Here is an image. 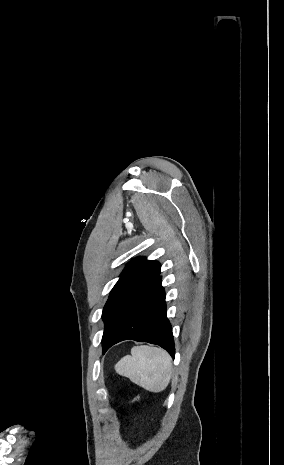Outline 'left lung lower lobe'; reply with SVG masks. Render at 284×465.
I'll return each mask as SVG.
<instances>
[{
    "mask_svg": "<svg viewBox=\"0 0 284 465\" xmlns=\"http://www.w3.org/2000/svg\"><path fill=\"white\" fill-rule=\"evenodd\" d=\"M128 339L159 345L174 358L172 328L166 317L160 275L118 314L103 341V354L114 344Z\"/></svg>",
    "mask_w": 284,
    "mask_h": 465,
    "instance_id": "1",
    "label": "left lung lower lobe"
}]
</instances>
